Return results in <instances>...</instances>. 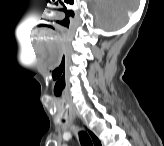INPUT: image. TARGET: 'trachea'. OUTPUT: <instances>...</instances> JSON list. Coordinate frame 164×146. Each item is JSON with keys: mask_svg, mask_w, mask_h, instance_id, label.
<instances>
[{"mask_svg": "<svg viewBox=\"0 0 164 146\" xmlns=\"http://www.w3.org/2000/svg\"><path fill=\"white\" fill-rule=\"evenodd\" d=\"M79 140H80L81 146H92L90 137L84 131H81L79 133Z\"/></svg>", "mask_w": 164, "mask_h": 146, "instance_id": "trachea-1", "label": "trachea"}]
</instances>
